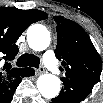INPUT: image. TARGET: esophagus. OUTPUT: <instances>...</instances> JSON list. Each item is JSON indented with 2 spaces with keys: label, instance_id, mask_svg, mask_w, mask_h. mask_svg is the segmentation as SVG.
Listing matches in <instances>:
<instances>
[{
  "label": "esophagus",
  "instance_id": "1",
  "mask_svg": "<svg viewBox=\"0 0 103 103\" xmlns=\"http://www.w3.org/2000/svg\"><path fill=\"white\" fill-rule=\"evenodd\" d=\"M44 72V68L40 67L39 69L36 70V75H40Z\"/></svg>",
  "mask_w": 103,
  "mask_h": 103
}]
</instances>
